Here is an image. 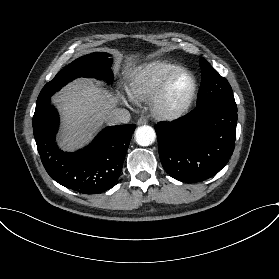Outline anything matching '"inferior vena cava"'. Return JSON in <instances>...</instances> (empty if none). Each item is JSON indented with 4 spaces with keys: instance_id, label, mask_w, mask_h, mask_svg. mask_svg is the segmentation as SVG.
<instances>
[{
    "instance_id": "602c4592",
    "label": "inferior vena cava",
    "mask_w": 279,
    "mask_h": 279,
    "mask_svg": "<svg viewBox=\"0 0 279 279\" xmlns=\"http://www.w3.org/2000/svg\"><path fill=\"white\" fill-rule=\"evenodd\" d=\"M130 113L126 109L116 108L109 114V124L116 125L121 123H128L130 121Z\"/></svg>"
}]
</instances>
